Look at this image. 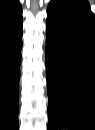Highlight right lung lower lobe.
Returning a JSON list of instances; mask_svg holds the SVG:
<instances>
[{"instance_id": "98d812e1", "label": "right lung lower lobe", "mask_w": 95, "mask_h": 130, "mask_svg": "<svg viewBox=\"0 0 95 130\" xmlns=\"http://www.w3.org/2000/svg\"><path fill=\"white\" fill-rule=\"evenodd\" d=\"M22 25L0 34V111L7 126L18 127V90L22 47Z\"/></svg>"}]
</instances>
